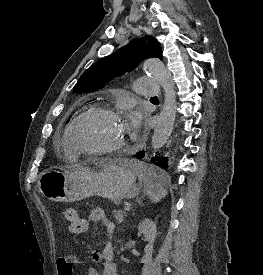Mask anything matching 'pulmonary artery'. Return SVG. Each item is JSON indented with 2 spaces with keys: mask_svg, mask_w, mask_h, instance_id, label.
I'll return each mask as SVG.
<instances>
[{
  "mask_svg": "<svg viewBox=\"0 0 263 275\" xmlns=\"http://www.w3.org/2000/svg\"><path fill=\"white\" fill-rule=\"evenodd\" d=\"M134 90L143 96H154L158 93V84L152 78L141 77L136 81Z\"/></svg>",
  "mask_w": 263,
  "mask_h": 275,
  "instance_id": "obj_1",
  "label": "pulmonary artery"
}]
</instances>
